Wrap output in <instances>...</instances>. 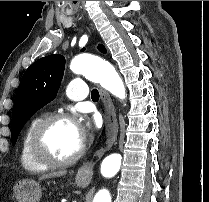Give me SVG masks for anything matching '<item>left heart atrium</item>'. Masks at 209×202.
I'll return each mask as SVG.
<instances>
[{
  "label": "left heart atrium",
  "mask_w": 209,
  "mask_h": 202,
  "mask_svg": "<svg viewBox=\"0 0 209 202\" xmlns=\"http://www.w3.org/2000/svg\"><path fill=\"white\" fill-rule=\"evenodd\" d=\"M90 129L89 122L85 121L83 117L80 118L79 122L76 123V130L79 138L83 140Z\"/></svg>",
  "instance_id": "left-heart-atrium-1"
}]
</instances>
